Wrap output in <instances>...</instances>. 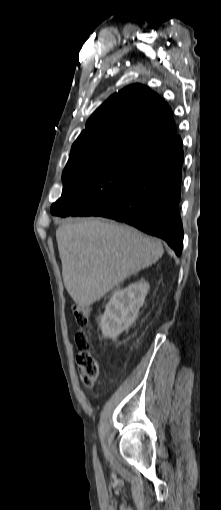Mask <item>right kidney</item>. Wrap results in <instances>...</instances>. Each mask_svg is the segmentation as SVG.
<instances>
[{
  "label": "right kidney",
  "mask_w": 221,
  "mask_h": 510,
  "mask_svg": "<svg viewBox=\"0 0 221 510\" xmlns=\"http://www.w3.org/2000/svg\"><path fill=\"white\" fill-rule=\"evenodd\" d=\"M148 290L149 283L140 280L114 291L99 324L104 337L117 338L135 322Z\"/></svg>",
  "instance_id": "right-kidney-1"
}]
</instances>
